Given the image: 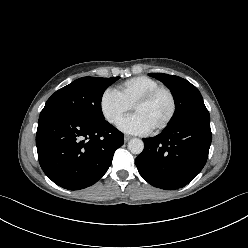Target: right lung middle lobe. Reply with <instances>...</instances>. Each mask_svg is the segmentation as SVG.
I'll return each mask as SVG.
<instances>
[{
    "label": "right lung middle lobe",
    "instance_id": "dd1d6c3e",
    "mask_svg": "<svg viewBox=\"0 0 248 248\" xmlns=\"http://www.w3.org/2000/svg\"><path fill=\"white\" fill-rule=\"evenodd\" d=\"M120 77H82L56 91L46 102L40 115L67 112L86 119L105 120L101 110L104 91Z\"/></svg>",
    "mask_w": 248,
    "mask_h": 248
}]
</instances>
